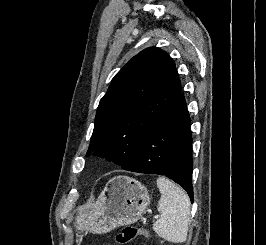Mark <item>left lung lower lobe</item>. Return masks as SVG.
I'll use <instances>...</instances> for the list:
<instances>
[{"instance_id": "obj_1", "label": "left lung lower lobe", "mask_w": 266, "mask_h": 245, "mask_svg": "<svg viewBox=\"0 0 266 245\" xmlns=\"http://www.w3.org/2000/svg\"><path fill=\"white\" fill-rule=\"evenodd\" d=\"M125 170L166 176L181 185L193 202L192 134L181 91L143 135Z\"/></svg>"}]
</instances>
